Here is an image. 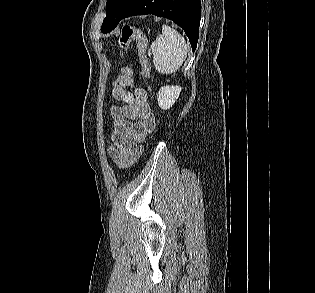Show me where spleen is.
I'll list each match as a JSON object with an SVG mask.
<instances>
[{"mask_svg":"<svg viewBox=\"0 0 315 293\" xmlns=\"http://www.w3.org/2000/svg\"><path fill=\"white\" fill-rule=\"evenodd\" d=\"M153 64L161 74L176 72L187 57L188 45L184 37L175 29L163 25L159 35L150 47Z\"/></svg>","mask_w":315,"mask_h":293,"instance_id":"spleen-1","label":"spleen"}]
</instances>
